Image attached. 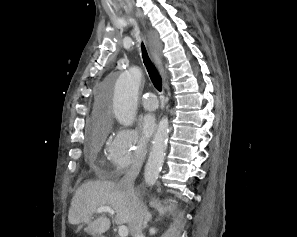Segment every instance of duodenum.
<instances>
[{"instance_id":"410a0bca","label":"duodenum","mask_w":297,"mask_h":237,"mask_svg":"<svg viewBox=\"0 0 297 237\" xmlns=\"http://www.w3.org/2000/svg\"><path fill=\"white\" fill-rule=\"evenodd\" d=\"M101 237H110V236H101Z\"/></svg>"}]
</instances>
